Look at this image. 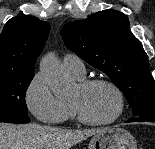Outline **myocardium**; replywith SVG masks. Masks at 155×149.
Returning a JSON list of instances; mask_svg holds the SVG:
<instances>
[{
  "mask_svg": "<svg viewBox=\"0 0 155 149\" xmlns=\"http://www.w3.org/2000/svg\"><path fill=\"white\" fill-rule=\"evenodd\" d=\"M78 85L83 90H87L96 85L107 86L115 93L118 103L116 113L113 117L104 121H95L88 118L76 103L70 101V106L74 112V115L80 123L88 126H107L116 122L122 116L125 108V97L120 87L114 82L103 78H92L82 80L79 82Z\"/></svg>",
  "mask_w": 155,
  "mask_h": 149,
  "instance_id": "1",
  "label": "myocardium"
}]
</instances>
